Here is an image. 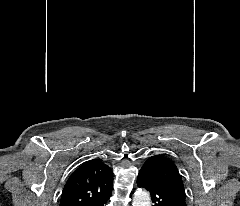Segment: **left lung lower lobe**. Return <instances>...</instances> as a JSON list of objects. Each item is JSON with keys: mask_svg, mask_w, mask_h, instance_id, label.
Returning a JSON list of instances; mask_svg holds the SVG:
<instances>
[{"mask_svg": "<svg viewBox=\"0 0 240 206\" xmlns=\"http://www.w3.org/2000/svg\"><path fill=\"white\" fill-rule=\"evenodd\" d=\"M138 187L146 188L151 195L153 206H181L155 177L148 165H143L138 178Z\"/></svg>", "mask_w": 240, "mask_h": 206, "instance_id": "0a47b994", "label": "left lung lower lobe"}]
</instances>
